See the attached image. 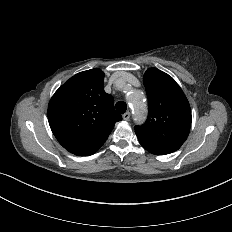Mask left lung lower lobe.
I'll return each instance as SVG.
<instances>
[{
  "mask_svg": "<svg viewBox=\"0 0 232 232\" xmlns=\"http://www.w3.org/2000/svg\"><path fill=\"white\" fill-rule=\"evenodd\" d=\"M144 148L150 153L155 154V155H165V154L172 153L171 151L164 149V148H160V147H144Z\"/></svg>",
  "mask_w": 232,
  "mask_h": 232,
  "instance_id": "0a47b994",
  "label": "left lung lower lobe"
}]
</instances>
